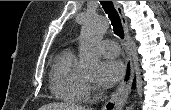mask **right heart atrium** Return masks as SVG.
<instances>
[{
	"label": "right heart atrium",
	"mask_w": 171,
	"mask_h": 110,
	"mask_svg": "<svg viewBox=\"0 0 171 110\" xmlns=\"http://www.w3.org/2000/svg\"><path fill=\"white\" fill-rule=\"evenodd\" d=\"M87 91L88 93L91 91V87L89 85H87Z\"/></svg>",
	"instance_id": "right-heart-atrium-1"
}]
</instances>
